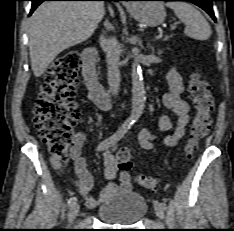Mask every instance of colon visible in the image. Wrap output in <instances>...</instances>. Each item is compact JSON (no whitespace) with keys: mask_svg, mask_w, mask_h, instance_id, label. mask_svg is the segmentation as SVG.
Here are the masks:
<instances>
[{"mask_svg":"<svg viewBox=\"0 0 234 231\" xmlns=\"http://www.w3.org/2000/svg\"><path fill=\"white\" fill-rule=\"evenodd\" d=\"M81 64V54L77 50H70L58 57L45 72L44 82L34 106V124L39 136L52 154L59 158H64L73 144L72 128L81 115L75 101L78 87L77 73ZM189 91L195 116L190 126L186 147L188 155L208 134L214 107L210 86L201 74L194 73L191 76ZM116 163L118 169L123 174H127L132 167L129 150L120 149L116 154ZM137 183L146 188H153L157 179L148 175H139Z\"/></svg>","mask_w":234,"mask_h":231,"instance_id":"colon-1","label":"colon"}]
</instances>
